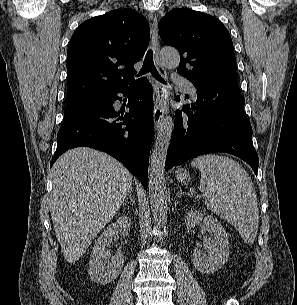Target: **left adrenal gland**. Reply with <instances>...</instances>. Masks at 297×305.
Wrapping results in <instances>:
<instances>
[{
  "label": "left adrenal gland",
  "mask_w": 297,
  "mask_h": 305,
  "mask_svg": "<svg viewBox=\"0 0 297 305\" xmlns=\"http://www.w3.org/2000/svg\"><path fill=\"white\" fill-rule=\"evenodd\" d=\"M185 192L180 188L179 193H178V198H180Z\"/></svg>",
  "instance_id": "a2214340"
}]
</instances>
